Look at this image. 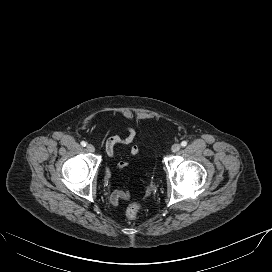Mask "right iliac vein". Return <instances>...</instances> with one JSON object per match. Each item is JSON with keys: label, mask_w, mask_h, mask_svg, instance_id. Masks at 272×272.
I'll return each mask as SVG.
<instances>
[{"label": "right iliac vein", "mask_w": 272, "mask_h": 272, "mask_svg": "<svg viewBox=\"0 0 272 272\" xmlns=\"http://www.w3.org/2000/svg\"><path fill=\"white\" fill-rule=\"evenodd\" d=\"M87 151L89 152H94L95 151V147L92 144H88L86 147Z\"/></svg>", "instance_id": "63e3f726"}]
</instances>
